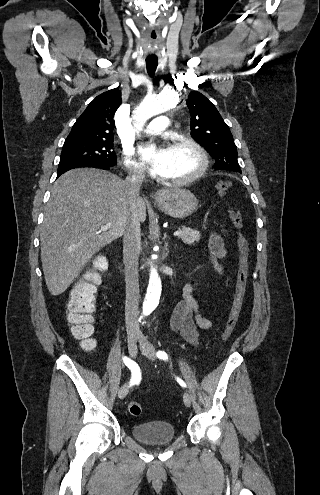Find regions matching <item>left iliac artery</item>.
<instances>
[{
    "instance_id": "44dca946",
    "label": "left iliac artery",
    "mask_w": 320,
    "mask_h": 495,
    "mask_svg": "<svg viewBox=\"0 0 320 495\" xmlns=\"http://www.w3.org/2000/svg\"><path fill=\"white\" fill-rule=\"evenodd\" d=\"M156 355H157V357H158L159 359H162V360H165V361H166V360H168V355H167V353H166L165 351L160 350V351H158V352H157V354H156ZM177 382H178V383H179L182 387H186V383H185L182 379L177 378Z\"/></svg>"
}]
</instances>
